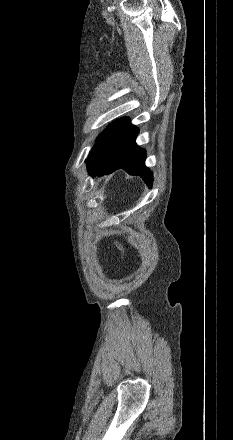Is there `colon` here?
Here are the masks:
<instances>
[{"mask_svg": "<svg viewBox=\"0 0 233 440\" xmlns=\"http://www.w3.org/2000/svg\"><path fill=\"white\" fill-rule=\"evenodd\" d=\"M115 245H116V247H117V249L119 251L121 260H123L124 257H125V248H124L123 244L119 240H116L115 241Z\"/></svg>", "mask_w": 233, "mask_h": 440, "instance_id": "1", "label": "colon"}]
</instances>
